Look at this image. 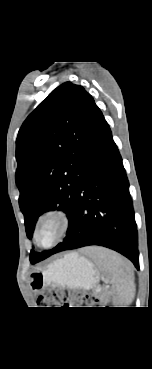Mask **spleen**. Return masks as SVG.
I'll use <instances>...</instances> for the list:
<instances>
[{
    "label": "spleen",
    "instance_id": "1",
    "mask_svg": "<svg viewBox=\"0 0 152 369\" xmlns=\"http://www.w3.org/2000/svg\"><path fill=\"white\" fill-rule=\"evenodd\" d=\"M92 254L99 267L111 276L112 293L116 294L121 302H129L133 283L130 264L111 250L95 248Z\"/></svg>",
    "mask_w": 152,
    "mask_h": 369
}]
</instances>
